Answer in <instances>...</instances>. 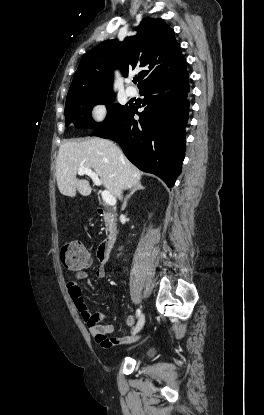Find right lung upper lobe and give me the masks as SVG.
Returning <instances> with one entry per match:
<instances>
[{"instance_id":"right-lung-upper-lobe-1","label":"right lung upper lobe","mask_w":264,"mask_h":415,"mask_svg":"<svg viewBox=\"0 0 264 415\" xmlns=\"http://www.w3.org/2000/svg\"><path fill=\"white\" fill-rule=\"evenodd\" d=\"M138 32L124 42L107 40L87 52L81 59L68 91L67 99L84 94L112 92L114 70L124 75L139 72V90L149 84L175 78L186 71V59L173 29L163 19L145 18Z\"/></svg>"}]
</instances>
